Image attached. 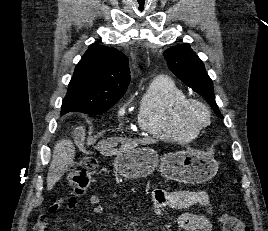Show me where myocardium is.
Here are the masks:
<instances>
[{
    "label": "myocardium",
    "instance_id": "f54148a6",
    "mask_svg": "<svg viewBox=\"0 0 268 231\" xmlns=\"http://www.w3.org/2000/svg\"><path fill=\"white\" fill-rule=\"evenodd\" d=\"M179 120L187 130L196 134L209 123L210 110L200 99L187 98L180 106Z\"/></svg>",
    "mask_w": 268,
    "mask_h": 231
}]
</instances>
